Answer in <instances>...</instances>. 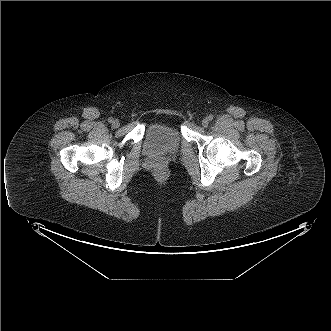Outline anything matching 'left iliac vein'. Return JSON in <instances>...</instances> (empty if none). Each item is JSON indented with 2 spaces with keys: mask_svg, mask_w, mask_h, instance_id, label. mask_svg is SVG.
<instances>
[{
  "mask_svg": "<svg viewBox=\"0 0 331 331\" xmlns=\"http://www.w3.org/2000/svg\"><path fill=\"white\" fill-rule=\"evenodd\" d=\"M209 125V119L208 118H204L203 120H202V126L203 127H207Z\"/></svg>",
  "mask_w": 331,
  "mask_h": 331,
  "instance_id": "left-iliac-vein-1",
  "label": "left iliac vein"
}]
</instances>
